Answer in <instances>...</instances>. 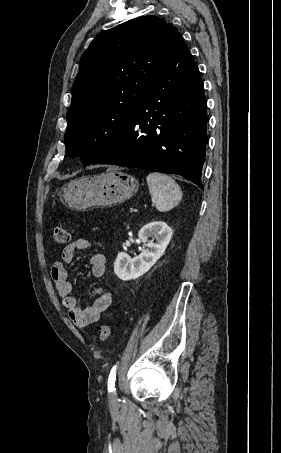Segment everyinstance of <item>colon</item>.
I'll return each instance as SVG.
<instances>
[{"instance_id": "obj_1", "label": "colon", "mask_w": 281, "mask_h": 453, "mask_svg": "<svg viewBox=\"0 0 281 453\" xmlns=\"http://www.w3.org/2000/svg\"><path fill=\"white\" fill-rule=\"evenodd\" d=\"M68 231L62 224H56L52 228V240L56 246H64L67 243ZM112 337V327L109 324H104L100 327L97 339L100 343L108 342Z\"/></svg>"}]
</instances>
